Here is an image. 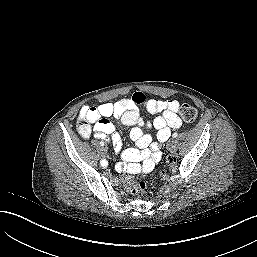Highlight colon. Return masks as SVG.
<instances>
[{"label":"colon","mask_w":257,"mask_h":257,"mask_svg":"<svg viewBox=\"0 0 257 257\" xmlns=\"http://www.w3.org/2000/svg\"><path fill=\"white\" fill-rule=\"evenodd\" d=\"M180 115L184 122L193 123L198 117V111L193 106L185 105L181 108ZM169 162L171 163L173 160L170 159ZM122 183L126 190L133 196H142L146 189V184L143 181H138L129 174L123 176Z\"/></svg>","instance_id":"colon-1"}]
</instances>
